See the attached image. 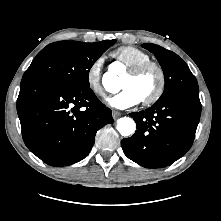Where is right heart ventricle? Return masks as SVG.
<instances>
[{"label": "right heart ventricle", "instance_id": "obj_1", "mask_svg": "<svg viewBox=\"0 0 221 221\" xmlns=\"http://www.w3.org/2000/svg\"><path fill=\"white\" fill-rule=\"evenodd\" d=\"M111 56L127 68L151 59L146 51L132 45L118 47L111 53Z\"/></svg>", "mask_w": 221, "mask_h": 221}]
</instances>
